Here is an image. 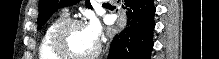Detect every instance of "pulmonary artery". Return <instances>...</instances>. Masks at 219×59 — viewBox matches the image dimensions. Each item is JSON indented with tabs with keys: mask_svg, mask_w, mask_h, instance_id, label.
I'll return each instance as SVG.
<instances>
[{
	"mask_svg": "<svg viewBox=\"0 0 219 59\" xmlns=\"http://www.w3.org/2000/svg\"><path fill=\"white\" fill-rule=\"evenodd\" d=\"M64 11H65V12H67L68 10H67V9H65Z\"/></svg>",
	"mask_w": 219,
	"mask_h": 59,
	"instance_id": "obj_1",
	"label": "pulmonary artery"
}]
</instances>
